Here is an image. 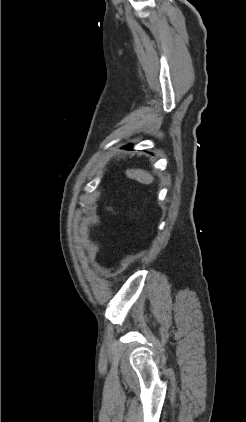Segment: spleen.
<instances>
[{"label": "spleen", "mask_w": 246, "mask_h": 422, "mask_svg": "<svg viewBox=\"0 0 246 422\" xmlns=\"http://www.w3.org/2000/svg\"><path fill=\"white\" fill-rule=\"evenodd\" d=\"M126 175L130 179H134L142 184L149 185L153 182L154 178L150 173L142 169H127Z\"/></svg>", "instance_id": "3e777b00"}]
</instances>
